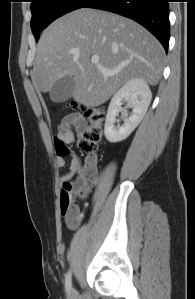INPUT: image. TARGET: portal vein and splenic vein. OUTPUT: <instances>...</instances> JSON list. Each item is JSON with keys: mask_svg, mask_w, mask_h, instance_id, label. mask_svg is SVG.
Segmentation results:
<instances>
[{"mask_svg": "<svg viewBox=\"0 0 195 299\" xmlns=\"http://www.w3.org/2000/svg\"><path fill=\"white\" fill-rule=\"evenodd\" d=\"M91 62H92L93 64L97 65V66L101 69V71H102L103 73H106V74H108V75H112L111 72H109V71H107L106 69H104V68H102L101 66H99V58H98L97 56L92 57V58H91Z\"/></svg>", "mask_w": 195, "mask_h": 299, "instance_id": "portal-vein-and-splenic-vein-1", "label": "portal vein and splenic vein"}]
</instances>
